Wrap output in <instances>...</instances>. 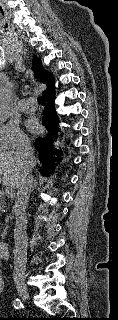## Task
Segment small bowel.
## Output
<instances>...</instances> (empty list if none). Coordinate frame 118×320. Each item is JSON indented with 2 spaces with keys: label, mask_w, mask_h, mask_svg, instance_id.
<instances>
[{
  "label": "small bowel",
  "mask_w": 118,
  "mask_h": 320,
  "mask_svg": "<svg viewBox=\"0 0 118 320\" xmlns=\"http://www.w3.org/2000/svg\"><path fill=\"white\" fill-rule=\"evenodd\" d=\"M3 287H4V282H3V279H2V273L0 271V293L2 292L3 290Z\"/></svg>",
  "instance_id": "small-bowel-1"
}]
</instances>
